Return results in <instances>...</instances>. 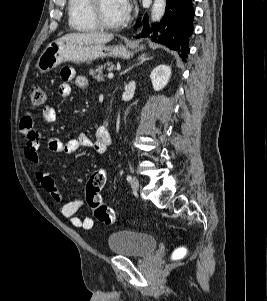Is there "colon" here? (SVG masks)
Masks as SVG:
<instances>
[{
    "instance_id": "obj_1",
    "label": "colon",
    "mask_w": 267,
    "mask_h": 301,
    "mask_svg": "<svg viewBox=\"0 0 267 301\" xmlns=\"http://www.w3.org/2000/svg\"><path fill=\"white\" fill-rule=\"evenodd\" d=\"M31 103L34 107L42 106L47 101V95L44 89L39 85H33L29 89ZM108 172L102 168L95 171L86 185V201L91 207L93 214L97 220L112 225L115 220V213L111 207L105 204L101 197V191L107 180ZM186 255L184 248L175 250L173 257L175 259L183 258Z\"/></svg>"
}]
</instances>
